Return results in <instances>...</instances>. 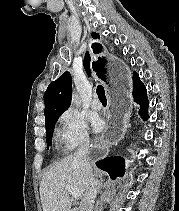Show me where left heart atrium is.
I'll return each instance as SVG.
<instances>
[{
	"label": "left heart atrium",
	"instance_id": "1",
	"mask_svg": "<svg viewBox=\"0 0 179 211\" xmlns=\"http://www.w3.org/2000/svg\"><path fill=\"white\" fill-rule=\"evenodd\" d=\"M92 127L95 131H100L103 127V122L99 117H93L91 119Z\"/></svg>",
	"mask_w": 179,
	"mask_h": 211
}]
</instances>
